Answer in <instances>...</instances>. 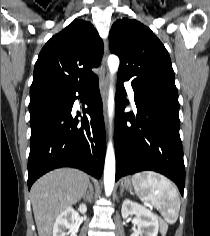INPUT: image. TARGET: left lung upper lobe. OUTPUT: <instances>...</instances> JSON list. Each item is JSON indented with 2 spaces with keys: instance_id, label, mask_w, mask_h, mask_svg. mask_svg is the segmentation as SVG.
<instances>
[{
  "instance_id": "obj_1",
  "label": "left lung upper lobe",
  "mask_w": 210,
  "mask_h": 236,
  "mask_svg": "<svg viewBox=\"0 0 210 236\" xmlns=\"http://www.w3.org/2000/svg\"><path fill=\"white\" fill-rule=\"evenodd\" d=\"M109 48L120 58L118 79L130 80L135 93L178 97L169 54L148 27L133 19L117 20Z\"/></svg>"
}]
</instances>
